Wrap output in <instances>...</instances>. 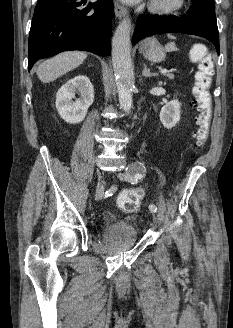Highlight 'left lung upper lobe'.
<instances>
[{"mask_svg":"<svg viewBox=\"0 0 233 328\" xmlns=\"http://www.w3.org/2000/svg\"><path fill=\"white\" fill-rule=\"evenodd\" d=\"M196 4L204 6L208 9L214 10V2L213 0H194Z\"/></svg>","mask_w":233,"mask_h":328,"instance_id":"left-lung-upper-lobe-1","label":"left lung upper lobe"}]
</instances>
